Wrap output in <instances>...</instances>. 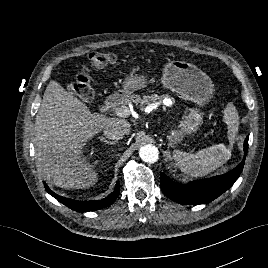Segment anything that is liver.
<instances>
[{"mask_svg":"<svg viewBox=\"0 0 268 268\" xmlns=\"http://www.w3.org/2000/svg\"><path fill=\"white\" fill-rule=\"evenodd\" d=\"M118 124L131 129L125 119L92 113L58 82L46 87L35 118L37 166L46 179L67 189L91 187L98 173L83 155L86 143L107 126Z\"/></svg>","mask_w":268,"mask_h":268,"instance_id":"liver-1","label":"liver"}]
</instances>
